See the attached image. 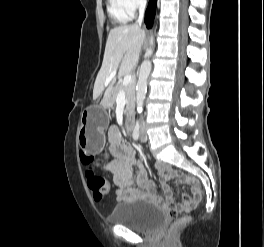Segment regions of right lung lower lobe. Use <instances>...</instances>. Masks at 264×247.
I'll return each mask as SVG.
<instances>
[{
	"instance_id": "98d812e1",
	"label": "right lung lower lobe",
	"mask_w": 264,
	"mask_h": 247,
	"mask_svg": "<svg viewBox=\"0 0 264 247\" xmlns=\"http://www.w3.org/2000/svg\"><path fill=\"white\" fill-rule=\"evenodd\" d=\"M156 2L157 0H150L149 6L145 13V24L147 28H151L153 25V19L155 16V10H156Z\"/></svg>"
}]
</instances>
